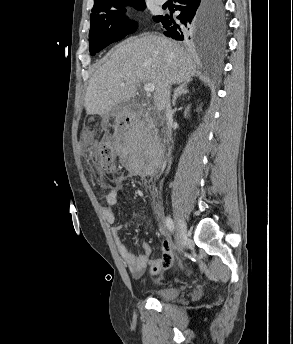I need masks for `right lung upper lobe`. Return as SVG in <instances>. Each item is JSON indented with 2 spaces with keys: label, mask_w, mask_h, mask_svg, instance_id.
Here are the masks:
<instances>
[{
  "label": "right lung upper lobe",
  "mask_w": 293,
  "mask_h": 344,
  "mask_svg": "<svg viewBox=\"0 0 293 344\" xmlns=\"http://www.w3.org/2000/svg\"><path fill=\"white\" fill-rule=\"evenodd\" d=\"M117 1H121V0H94V6L92 10L106 6V5H110Z\"/></svg>",
  "instance_id": "cb5924a9"
}]
</instances>
